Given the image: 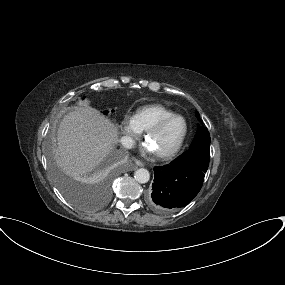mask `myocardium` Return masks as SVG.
Segmentation results:
<instances>
[{"label": "myocardium", "instance_id": "myocardium-1", "mask_svg": "<svg viewBox=\"0 0 285 285\" xmlns=\"http://www.w3.org/2000/svg\"><path fill=\"white\" fill-rule=\"evenodd\" d=\"M174 119H181L183 121V123H184V131H183V134L181 135L178 143L171 150H169L167 152H164V153H154V155L157 158L161 159V160H169V159H171L181 149V147H182V145L184 143V140H185V138L187 136V133H188V124H187L186 119L183 116H181V115L173 114V115H170V116H167V117L161 119L160 121H158L155 125H153L150 129H148L145 132L144 140H145L146 143H148L149 139L154 134L158 133L166 124H168L169 122H171Z\"/></svg>", "mask_w": 285, "mask_h": 285}]
</instances>
